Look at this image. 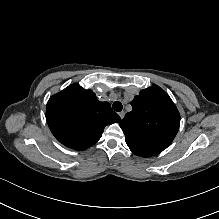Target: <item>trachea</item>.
Instances as JSON below:
<instances>
[{"label": "trachea", "instance_id": "trachea-1", "mask_svg": "<svg viewBox=\"0 0 219 219\" xmlns=\"http://www.w3.org/2000/svg\"><path fill=\"white\" fill-rule=\"evenodd\" d=\"M113 109L116 111V112H120L122 109H123V105H122V103L121 102H119V101H115L114 103H113Z\"/></svg>", "mask_w": 219, "mask_h": 219}]
</instances>
